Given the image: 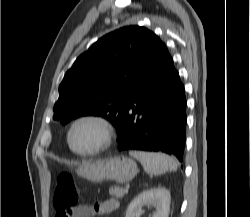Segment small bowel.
I'll return each mask as SVG.
<instances>
[{"label":"small bowel","instance_id":"small-bowel-1","mask_svg":"<svg viewBox=\"0 0 250 217\" xmlns=\"http://www.w3.org/2000/svg\"><path fill=\"white\" fill-rule=\"evenodd\" d=\"M118 201L115 198L99 202L94 206L80 205L71 214V217H94L95 215L110 214L118 208Z\"/></svg>","mask_w":250,"mask_h":217}]
</instances>
